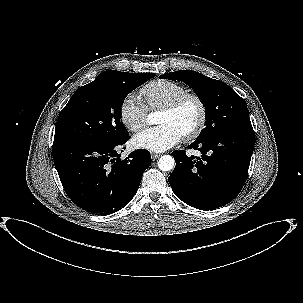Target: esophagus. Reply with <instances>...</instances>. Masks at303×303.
I'll return each instance as SVG.
<instances>
[{
    "instance_id": "obj_1",
    "label": "esophagus",
    "mask_w": 303,
    "mask_h": 303,
    "mask_svg": "<svg viewBox=\"0 0 303 303\" xmlns=\"http://www.w3.org/2000/svg\"><path fill=\"white\" fill-rule=\"evenodd\" d=\"M160 156H161V154H158V153H151V157H152L153 160L158 159Z\"/></svg>"
}]
</instances>
